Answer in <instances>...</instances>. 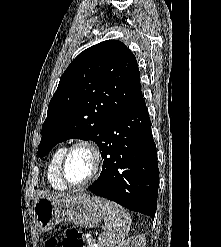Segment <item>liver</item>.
Listing matches in <instances>:
<instances>
[{"label": "liver", "instance_id": "6515ba94", "mask_svg": "<svg viewBox=\"0 0 221 247\" xmlns=\"http://www.w3.org/2000/svg\"><path fill=\"white\" fill-rule=\"evenodd\" d=\"M67 196H70L69 194H64V193H60V194H51V195H46V196H43L46 197V198H51V199H54V198H64V197H67Z\"/></svg>", "mask_w": 221, "mask_h": 247}]
</instances>
